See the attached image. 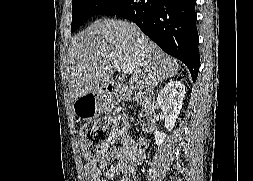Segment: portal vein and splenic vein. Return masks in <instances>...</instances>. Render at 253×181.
Listing matches in <instances>:
<instances>
[{
    "instance_id": "obj_1",
    "label": "portal vein and splenic vein",
    "mask_w": 253,
    "mask_h": 181,
    "mask_svg": "<svg viewBox=\"0 0 253 181\" xmlns=\"http://www.w3.org/2000/svg\"><path fill=\"white\" fill-rule=\"evenodd\" d=\"M120 68L124 74H132L134 70V67L131 64H124Z\"/></svg>"
}]
</instances>
